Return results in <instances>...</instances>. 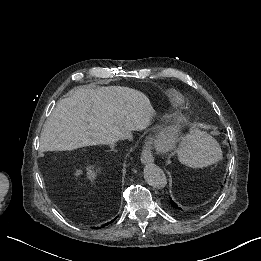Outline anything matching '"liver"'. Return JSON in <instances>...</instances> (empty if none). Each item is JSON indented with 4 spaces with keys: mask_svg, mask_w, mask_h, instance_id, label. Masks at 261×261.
I'll return each instance as SVG.
<instances>
[{
    "mask_svg": "<svg viewBox=\"0 0 261 261\" xmlns=\"http://www.w3.org/2000/svg\"><path fill=\"white\" fill-rule=\"evenodd\" d=\"M154 109L141 91L121 86L78 87L59 100L40 136L45 150H74L132 139L151 124Z\"/></svg>",
    "mask_w": 261,
    "mask_h": 261,
    "instance_id": "6515ba94",
    "label": "liver"
}]
</instances>
